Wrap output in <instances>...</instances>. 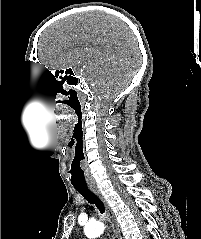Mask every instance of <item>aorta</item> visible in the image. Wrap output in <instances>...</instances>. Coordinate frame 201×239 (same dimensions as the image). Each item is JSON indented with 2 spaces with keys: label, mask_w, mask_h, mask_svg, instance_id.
Returning a JSON list of instances; mask_svg holds the SVG:
<instances>
[{
  "label": "aorta",
  "mask_w": 201,
  "mask_h": 239,
  "mask_svg": "<svg viewBox=\"0 0 201 239\" xmlns=\"http://www.w3.org/2000/svg\"><path fill=\"white\" fill-rule=\"evenodd\" d=\"M104 230H105V226L102 222H90L84 228L85 235L89 239H93V238H97L101 236Z\"/></svg>",
  "instance_id": "obj_1"
}]
</instances>
